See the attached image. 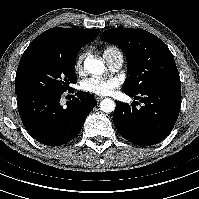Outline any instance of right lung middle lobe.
Returning <instances> with one entry per match:
<instances>
[{"label":"right lung middle lobe","instance_id":"dd1d6c3e","mask_svg":"<svg viewBox=\"0 0 199 199\" xmlns=\"http://www.w3.org/2000/svg\"><path fill=\"white\" fill-rule=\"evenodd\" d=\"M78 52L64 54L45 46H29L17 68L15 92L64 93L76 83L75 60Z\"/></svg>","mask_w":199,"mask_h":199}]
</instances>
